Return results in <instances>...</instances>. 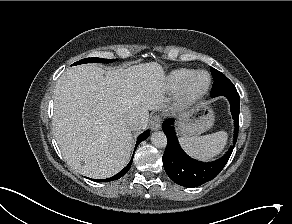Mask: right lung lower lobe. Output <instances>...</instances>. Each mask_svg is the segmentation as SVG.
<instances>
[{
	"mask_svg": "<svg viewBox=\"0 0 292 224\" xmlns=\"http://www.w3.org/2000/svg\"><path fill=\"white\" fill-rule=\"evenodd\" d=\"M149 135H150V131L149 130H146L145 132H143L138 137V139H137L135 149L139 145V143L142 142L143 140L147 139L149 137ZM132 160H133V156H132V159L129 162V164L123 170H121L118 174H116L115 176L110 177L108 179H103V180H94L93 179V181H97V182H109V181H114V180L119 179L120 177H122L123 175H125L127 173V171L130 169L131 164H132Z\"/></svg>",
	"mask_w": 292,
	"mask_h": 224,
	"instance_id": "1",
	"label": "right lung lower lobe"
}]
</instances>
